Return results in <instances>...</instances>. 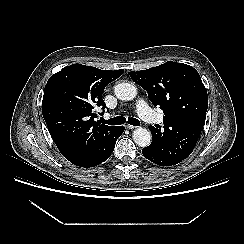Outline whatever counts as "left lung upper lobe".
<instances>
[{
    "label": "left lung upper lobe",
    "instance_id": "left-lung-upper-lobe-1",
    "mask_svg": "<svg viewBox=\"0 0 244 244\" xmlns=\"http://www.w3.org/2000/svg\"><path fill=\"white\" fill-rule=\"evenodd\" d=\"M130 76L165 114L163 128L149 127L153 138L150 146L158 154L160 165L180 163L192 153L205 123L208 95L199 73L192 66L168 61L131 71Z\"/></svg>",
    "mask_w": 244,
    "mask_h": 244
}]
</instances>
